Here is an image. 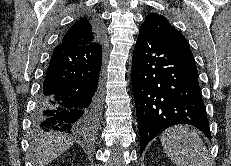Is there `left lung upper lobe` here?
<instances>
[{
    "label": "left lung upper lobe",
    "instance_id": "5c2ea615",
    "mask_svg": "<svg viewBox=\"0 0 231 166\" xmlns=\"http://www.w3.org/2000/svg\"><path fill=\"white\" fill-rule=\"evenodd\" d=\"M140 29L147 31L159 41L190 49L186 38L172 27L169 21L162 15L156 13L148 14Z\"/></svg>",
    "mask_w": 231,
    "mask_h": 166
}]
</instances>
